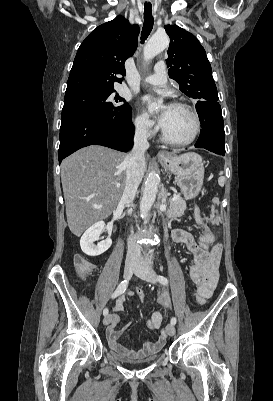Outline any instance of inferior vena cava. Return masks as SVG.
Listing matches in <instances>:
<instances>
[{
  "label": "inferior vena cava",
  "mask_w": 273,
  "mask_h": 401,
  "mask_svg": "<svg viewBox=\"0 0 273 401\" xmlns=\"http://www.w3.org/2000/svg\"><path fill=\"white\" fill-rule=\"evenodd\" d=\"M146 128H136L134 136V146L126 156V184L121 196L120 205H130L134 201L137 188L144 176L145 152L149 148ZM141 247L135 239L129 237L127 259H140Z\"/></svg>",
  "instance_id": "obj_1"
}]
</instances>
